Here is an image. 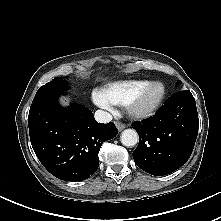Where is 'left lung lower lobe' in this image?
Returning <instances> with one entry per match:
<instances>
[{
  "label": "left lung lower lobe",
  "mask_w": 221,
  "mask_h": 221,
  "mask_svg": "<svg viewBox=\"0 0 221 221\" xmlns=\"http://www.w3.org/2000/svg\"><path fill=\"white\" fill-rule=\"evenodd\" d=\"M198 113L189 90L170 96L153 118L135 122L139 144L133 158L155 176L170 174L189 159L198 134Z\"/></svg>",
  "instance_id": "0a47b994"
}]
</instances>
